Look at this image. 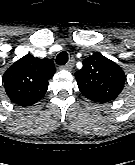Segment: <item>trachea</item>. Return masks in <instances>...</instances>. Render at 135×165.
Segmentation results:
<instances>
[{
  "instance_id": "obj_1",
  "label": "trachea",
  "mask_w": 135,
  "mask_h": 165,
  "mask_svg": "<svg viewBox=\"0 0 135 165\" xmlns=\"http://www.w3.org/2000/svg\"><path fill=\"white\" fill-rule=\"evenodd\" d=\"M68 61V53L66 51L60 52L56 57V63L58 65H65Z\"/></svg>"
}]
</instances>
